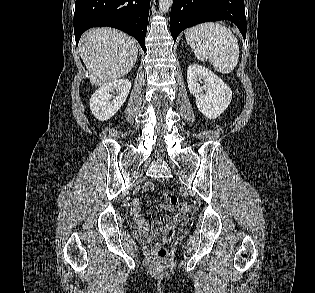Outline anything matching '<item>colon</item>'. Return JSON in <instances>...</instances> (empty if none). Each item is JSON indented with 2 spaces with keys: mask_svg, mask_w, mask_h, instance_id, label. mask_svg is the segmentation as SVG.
Here are the masks:
<instances>
[{
  "mask_svg": "<svg viewBox=\"0 0 315 293\" xmlns=\"http://www.w3.org/2000/svg\"><path fill=\"white\" fill-rule=\"evenodd\" d=\"M164 198L169 201L173 206L177 207L179 212L185 215L189 209L185 202L179 201L177 196L171 192L163 193ZM159 230V229H158ZM174 234L172 227H168L164 230L160 241L153 245V254L156 258L160 260H165L168 256V251L166 245L171 241Z\"/></svg>",
  "mask_w": 315,
  "mask_h": 293,
  "instance_id": "colon-1",
  "label": "colon"
}]
</instances>
